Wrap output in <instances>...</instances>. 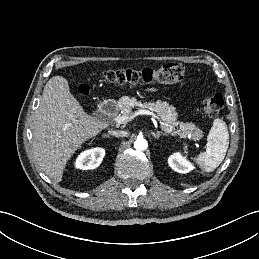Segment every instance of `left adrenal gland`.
Masks as SVG:
<instances>
[{"mask_svg":"<svg viewBox=\"0 0 259 259\" xmlns=\"http://www.w3.org/2000/svg\"><path fill=\"white\" fill-rule=\"evenodd\" d=\"M161 135H166V133L162 132V131H158L156 133L152 132V136L155 138V139H158Z\"/></svg>","mask_w":259,"mask_h":259,"instance_id":"a2214340","label":"left adrenal gland"}]
</instances>
